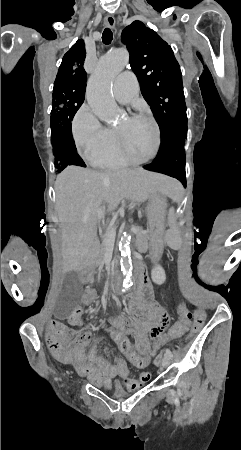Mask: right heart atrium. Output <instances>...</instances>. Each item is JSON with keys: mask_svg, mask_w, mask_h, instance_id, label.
<instances>
[{"mask_svg": "<svg viewBox=\"0 0 241 450\" xmlns=\"http://www.w3.org/2000/svg\"><path fill=\"white\" fill-rule=\"evenodd\" d=\"M72 130L75 147L83 158L105 152L115 132L104 131L87 105L81 106L76 113L72 121Z\"/></svg>", "mask_w": 241, "mask_h": 450, "instance_id": "right-heart-atrium-1", "label": "right heart atrium"}]
</instances>
